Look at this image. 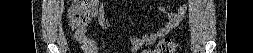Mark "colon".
<instances>
[{"mask_svg":"<svg viewBox=\"0 0 253 53\" xmlns=\"http://www.w3.org/2000/svg\"><path fill=\"white\" fill-rule=\"evenodd\" d=\"M91 1H74L70 10L71 24L73 28L87 27L92 19ZM178 44L169 38L161 40L154 50H145L144 53H175Z\"/></svg>","mask_w":253,"mask_h":53,"instance_id":"obj_1","label":"colon"}]
</instances>
